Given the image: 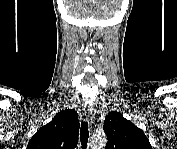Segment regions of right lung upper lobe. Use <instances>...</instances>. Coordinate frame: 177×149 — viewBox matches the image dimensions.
Masks as SVG:
<instances>
[{
	"mask_svg": "<svg viewBox=\"0 0 177 149\" xmlns=\"http://www.w3.org/2000/svg\"><path fill=\"white\" fill-rule=\"evenodd\" d=\"M78 124L75 110H62L36 132L27 149H73L78 143Z\"/></svg>",
	"mask_w": 177,
	"mask_h": 149,
	"instance_id": "cb5924a9",
	"label": "right lung upper lobe"
}]
</instances>
